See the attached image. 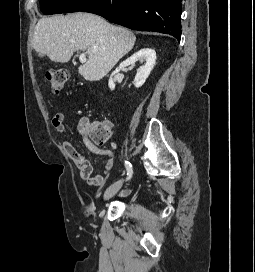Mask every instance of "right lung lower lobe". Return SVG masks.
<instances>
[{"instance_id": "right-lung-lower-lobe-1", "label": "right lung lower lobe", "mask_w": 255, "mask_h": 272, "mask_svg": "<svg viewBox=\"0 0 255 272\" xmlns=\"http://www.w3.org/2000/svg\"><path fill=\"white\" fill-rule=\"evenodd\" d=\"M81 11L133 30L170 34L180 41L181 0H95Z\"/></svg>"}]
</instances>
